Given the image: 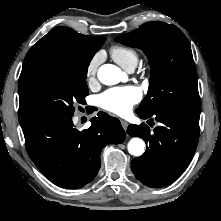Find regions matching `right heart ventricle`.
<instances>
[{
	"instance_id": "e07e8e85",
	"label": "right heart ventricle",
	"mask_w": 221,
	"mask_h": 221,
	"mask_svg": "<svg viewBox=\"0 0 221 221\" xmlns=\"http://www.w3.org/2000/svg\"><path fill=\"white\" fill-rule=\"evenodd\" d=\"M112 59L124 69L135 67L138 63L139 56L135 49L122 45H115L110 49Z\"/></svg>"
}]
</instances>
